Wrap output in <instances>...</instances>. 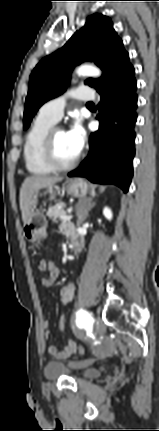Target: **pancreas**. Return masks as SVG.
<instances>
[{"mask_svg": "<svg viewBox=\"0 0 159 431\" xmlns=\"http://www.w3.org/2000/svg\"><path fill=\"white\" fill-rule=\"evenodd\" d=\"M64 206L65 204L63 202H58L55 205L50 206L47 211V216L56 222L58 218L65 214V211L63 210Z\"/></svg>", "mask_w": 159, "mask_h": 431, "instance_id": "1", "label": "pancreas"}]
</instances>
